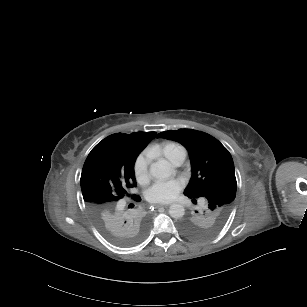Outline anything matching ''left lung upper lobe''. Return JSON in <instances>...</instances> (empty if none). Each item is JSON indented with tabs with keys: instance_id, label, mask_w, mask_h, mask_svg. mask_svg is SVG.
<instances>
[{
	"instance_id": "5c2ea615",
	"label": "left lung upper lobe",
	"mask_w": 307,
	"mask_h": 307,
	"mask_svg": "<svg viewBox=\"0 0 307 307\" xmlns=\"http://www.w3.org/2000/svg\"><path fill=\"white\" fill-rule=\"evenodd\" d=\"M157 137L181 143L189 152L192 177L184 194L193 200L207 199L180 223L189 238L201 240L215 235L225 224L236 195L234 163L229 151L211 135L191 129L165 131Z\"/></svg>"
}]
</instances>
